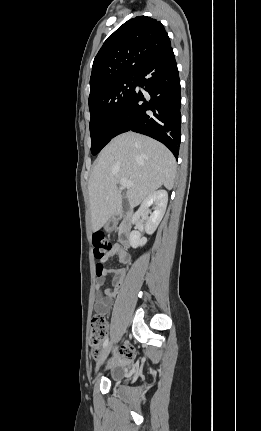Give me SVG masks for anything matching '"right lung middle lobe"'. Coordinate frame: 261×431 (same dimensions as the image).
<instances>
[{
  "label": "right lung middle lobe",
  "instance_id": "dd1d6c3e",
  "mask_svg": "<svg viewBox=\"0 0 261 431\" xmlns=\"http://www.w3.org/2000/svg\"><path fill=\"white\" fill-rule=\"evenodd\" d=\"M136 85V76L105 85L89 95L91 152L96 155L113 138L115 125Z\"/></svg>",
  "mask_w": 261,
  "mask_h": 431
}]
</instances>
